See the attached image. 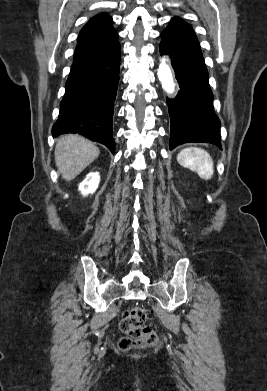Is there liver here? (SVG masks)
Returning <instances> with one entry per match:
<instances>
[{"mask_svg":"<svg viewBox=\"0 0 267 391\" xmlns=\"http://www.w3.org/2000/svg\"><path fill=\"white\" fill-rule=\"evenodd\" d=\"M100 154V150L79 135L61 136L55 147V163L66 181L73 180Z\"/></svg>","mask_w":267,"mask_h":391,"instance_id":"1","label":"liver"}]
</instances>
